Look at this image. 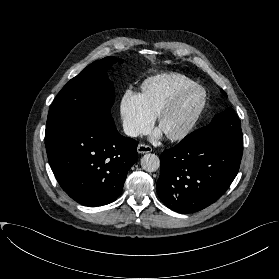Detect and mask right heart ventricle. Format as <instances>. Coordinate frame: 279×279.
Masks as SVG:
<instances>
[{
	"label": "right heart ventricle",
	"mask_w": 279,
	"mask_h": 279,
	"mask_svg": "<svg viewBox=\"0 0 279 279\" xmlns=\"http://www.w3.org/2000/svg\"><path fill=\"white\" fill-rule=\"evenodd\" d=\"M197 83L190 77L176 72H167L147 78L141 85V97L155 117L182 90Z\"/></svg>",
	"instance_id": "right-heart-ventricle-1"
}]
</instances>
